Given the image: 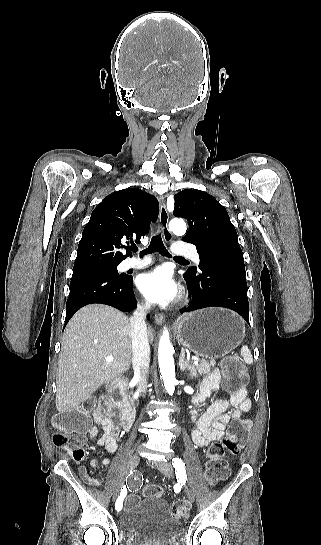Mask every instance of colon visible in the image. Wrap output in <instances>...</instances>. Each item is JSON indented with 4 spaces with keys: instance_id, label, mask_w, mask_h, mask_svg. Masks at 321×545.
Listing matches in <instances>:
<instances>
[{
    "instance_id": "1",
    "label": "colon",
    "mask_w": 321,
    "mask_h": 545,
    "mask_svg": "<svg viewBox=\"0 0 321 545\" xmlns=\"http://www.w3.org/2000/svg\"><path fill=\"white\" fill-rule=\"evenodd\" d=\"M224 375V388L230 393H240L247 390L248 374L236 357H227L221 363ZM94 406L93 401H86L82 406L58 413L53 420L56 432L52 442L55 447L66 450L73 459L81 461L86 456V435L90 420L89 412ZM252 422L248 419H235L230 424L226 438L222 442L213 443L206 452V477L210 484H217L227 478L229 467L225 454H237L245 446ZM81 476L90 484H96L87 470L80 471ZM163 490L158 485H148L143 494L147 497L161 496ZM140 501L136 494H128L123 501V508L129 509ZM172 512L179 519H186L188 508L184 503H175Z\"/></svg>"
}]
</instances>
